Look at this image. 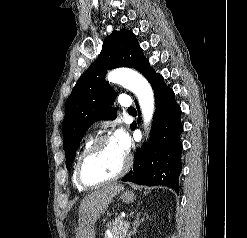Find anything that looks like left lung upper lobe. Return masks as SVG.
<instances>
[{
	"label": "left lung upper lobe",
	"mask_w": 247,
	"mask_h": 238,
	"mask_svg": "<svg viewBox=\"0 0 247 238\" xmlns=\"http://www.w3.org/2000/svg\"><path fill=\"white\" fill-rule=\"evenodd\" d=\"M117 67L135 68L146 78L153 70L135 35L126 29L113 31L105 38L99 57L81 76L66 101L62 131L67 168L89 125L101 119L116 118L115 110L110 108L115 92L104 76L107 69Z\"/></svg>",
	"instance_id": "left-lung-upper-lobe-1"
}]
</instances>
